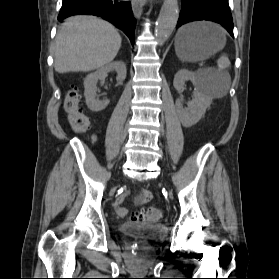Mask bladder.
Returning a JSON list of instances; mask_svg holds the SVG:
<instances>
[{"label":"bladder","instance_id":"1","mask_svg":"<svg viewBox=\"0 0 279 279\" xmlns=\"http://www.w3.org/2000/svg\"><path fill=\"white\" fill-rule=\"evenodd\" d=\"M119 232L144 241H159L166 235L167 229L160 223L124 222L120 225Z\"/></svg>","mask_w":279,"mask_h":279}]
</instances>
